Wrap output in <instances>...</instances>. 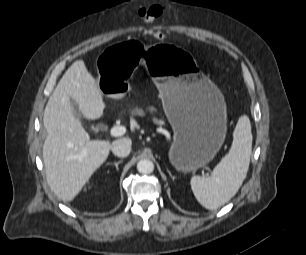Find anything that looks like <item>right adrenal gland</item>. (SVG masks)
<instances>
[{
    "mask_svg": "<svg viewBox=\"0 0 306 255\" xmlns=\"http://www.w3.org/2000/svg\"><path fill=\"white\" fill-rule=\"evenodd\" d=\"M122 162H123V160H119V161H117V162L110 163V165H114V166L116 167V170H118V165H119L120 163H122Z\"/></svg>",
    "mask_w": 306,
    "mask_h": 255,
    "instance_id": "right-adrenal-gland-1",
    "label": "right adrenal gland"
}]
</instances>
